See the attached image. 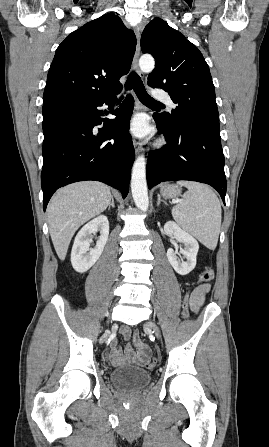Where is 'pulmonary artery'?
<instances>
[{"instance_id": "1", "label": "pulmonary artery", "mask_w": 269, "mask_h": 447, "mask_svg": "<svg viewBox=\"0 0 269 447\" xmlns=\"http://www.w3.org/2000/svg\"><path fill=\"white\" fill-rule=\"evenodd\" d=\"M154 97L156 99H163L164 101H166L169 104V106L171 108H175V104L172 102V100L169 97H167V91L166 90H156L154 92Z\"/></svg>"}]
</instances>
